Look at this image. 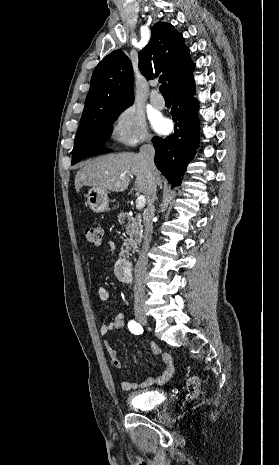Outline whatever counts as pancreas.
Segmentation results:
<instances>
[{"instance_id": "1", "label": "pancreas", "mask_w": 279, "mask_h": 465, "mask_svg": "<svg viewBox=\"0 0 279 465\" xmlns=\"http://www.w3.org/2000/svg\"><path fill=\"white\" fill-rule=\"evenodd\" d=\"M118 219L119 223L125 227L126 233L129 236L124 241L121 253L122 255H129L132 249L133 251L137 250L142 240L143 226L141 224V219L139 217L130 216L126 212H121L118 215Z\"/></svg>"}]
</instances>
